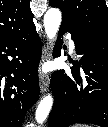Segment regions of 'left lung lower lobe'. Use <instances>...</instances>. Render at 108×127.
Here are the masks:
<instances>
[{"label":"left lung lower lobe","instance_id":"1","mask_svg":"<svg viewBox=\"0 0 108 127\" xmlns=\"http://www.w3.org/2000/svg\"><path fill=\"white\" fill-rule=\"evenodd\" d=\"M69 32L80 61L71 72L56 71L51 77L54 104L48 127L92 123L108 127V38L88 37L72 24L61 23L59 34ZM58 39L54 56H60ZM77 61H75L76 63Z\"/></svg>","mask_w":108,"mask_h":127}]
</instances>
